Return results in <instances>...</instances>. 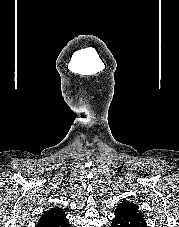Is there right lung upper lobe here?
I'll return each instance as SVG.
<instances>
[{"instance_id":"obj_1","label":"right lung upper lobe","mask_w":179,"mask_h":227,"mask_svg":"<svg viewBox=\"0 0 179 227\" xmlns=\"http://www.w3.org/2000/svg\"><path fill=\"white\" fill-rule=\"evenodd\" d=\"M69 225V221L66 218V214L61 208H53L49 211H45L37 227H66Z\"/></svg>"}]
</instances>
